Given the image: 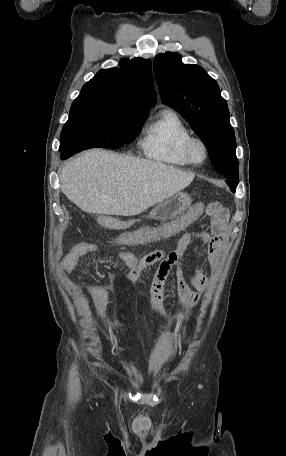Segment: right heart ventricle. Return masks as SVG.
<instances>
[{
  "mask_svg": "<svg viewBox=\"0 0 286 456\" xmlns=\"http://www.w3.org/2000/svg\"><path fill=\"white\" fill-rule=\"evenodd\" d=\"M190 136V130L179 115L164 110L147 126L140 145L144 155L152 161L187 166L183 146Z\"/></svg>",
  "mask_w": 286,
  "mask_h": 456,
  "instance_id": "right-heart-ventricle-1",
  "label": "right heart ventricle"
}]
</instances>
